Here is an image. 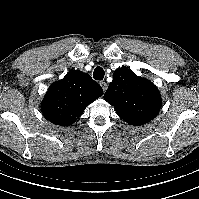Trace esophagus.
Segmentation results:
<instances>
[{
    "label": "esophagus",
    "instance_id": "1",
    "mask_svg": "<svg viewBox=\"0 0 199 199\" xmlns=\"http://www.w3.org/2000/svg\"><path fill=\"white\" fill-rule=\"evenodd\" d=\"M100 85H101L103 91H106V89H107V83L105 81H101Z\"/></svg>",
    "mask_w": 199,
    "mask_h": 199
}]
</instances>
